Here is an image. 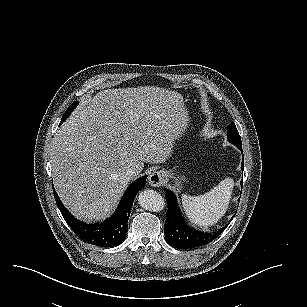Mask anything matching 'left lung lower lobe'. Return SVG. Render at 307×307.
<instances>
[{
	"mask_svg": "<svg viewBox=\"0 0 307 307\" xmlns=\"http://www.w3.org/2000/svg\"><path fill=\"white\" fill-rule=\"evenodd\" d=\"M240 150L242 151V148ZM241 169H244V158L242 160ZM165 190V198L168 203V211L164 225V232L167 243L172 247L177 249L198 248L212 242L226 229L227 226L213 233H203L191 229L186 225L184 218L182 217L175 195L172 193V191L168 189ZM232 219L233 217L229 222H231Z\"/></svg>",
	"mask_w": 307,
	"mask_h": 307,
	"instance_id": "obj_1",
	"label": "left lung lower lobe"
}]
</instances>
